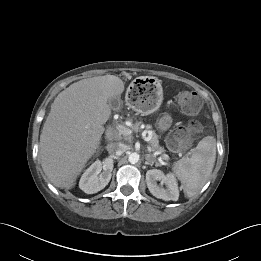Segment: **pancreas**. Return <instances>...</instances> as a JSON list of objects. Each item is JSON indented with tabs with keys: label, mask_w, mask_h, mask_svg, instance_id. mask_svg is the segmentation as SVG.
<instances>
[{
	"label": "pancreas",
	"mask_w": 261,
	"mask_h": 261,
	"mask_svg": "<svg viewBox=\"0 0 261 261\" xmlns=\"http://www.w3.org/2000/svg\"><path fill=\"white\" fill-rule=\"evenodd\" d=\"M139 126H140L139 123L135 124L134 127H133V130L134 131H138L140 129ZM146 129L148 130V137L150 138L149 143H150V145L152 147V151L154 153L155 152H158L160 154L164 153L165 149L162 146L159 145L158 135L154 131L150 130L151 129L150 125H147ZM161 158L164 159V160H168L169 156L166 157V154H162Z\"/></svg>",
	"instance_id": "obj_1"
}]
</instances>
